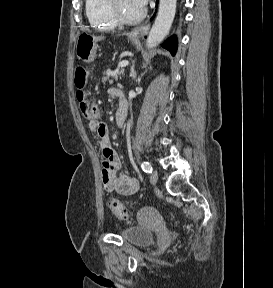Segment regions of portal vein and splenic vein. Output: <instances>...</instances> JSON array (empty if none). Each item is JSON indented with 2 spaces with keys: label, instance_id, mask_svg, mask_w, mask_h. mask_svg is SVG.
Listing matches in <instances>:
<instances>
[{
  "label": "portal vein and splenic vein",
  "instance_id": "1",
  "mask_svg": "<svg viewBox=\"0 0 273 288\" xmlns=\"http://www.w3.org/2000/svg\"><path fill=\"white\" fill-rule=\"evenodd\" d=\"M129 64L128 61H122L121 63H119V67H126Z\"/></svg>",
  "mask_w": 273,
  "mask_h": 288
}]
</instances>
